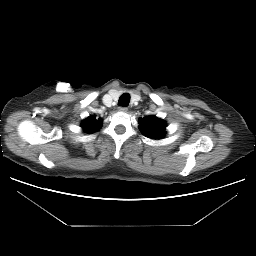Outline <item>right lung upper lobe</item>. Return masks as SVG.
Segmentation results:
<instances>
[{
  "mask_svg": "<svg viewBox=\"0 0 256 256\" xmlns=\"http://www.w3.org/2000/svg\"><path fill=\"white\" fill-rule=\"evenodd\" d=\"M101 124V119H96V117L89 116L83 121L82 127L86 132L91 133L97 131L101 127Z\"/></svg>",
  "mask_w": 256,
  "mask_h": 256,
  "instance_id": "cb5924a9",
  "label": "right lung upper lobe"
}]
</instances>
